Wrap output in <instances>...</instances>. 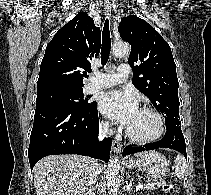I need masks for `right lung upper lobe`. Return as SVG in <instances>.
Returning a JSON list of instances; mask_svg holds the SVG:
<instances>
[{"instance_id": "1", "label": "right lung upper lobe", "mask_w": 211, "mask_h": 195, "mask_svg": "<svg viewBox=\"0 0 211 195\" xmlns=\"http://www.w3.org/2000/svg\"><path fill=\"white\" fill-rule=\"evenodd\" d=\"M100 29L85 12L78 13L55 34L41 62L37 93L50 89H80L100 52Z\"/></svg>"}]
</instances>
